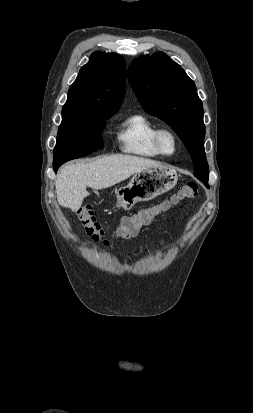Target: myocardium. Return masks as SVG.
I'll list each match as a JSON object with an SVG mask.
<instances>
[{
    "instance_id": "f54148a6",
    "label": "myocardium",
    "mask_w": 253,
    "mask_h": 413,
    "mask_svg": "<svg viewBox=\"0 0 253 413\" xmlns=\"http://www.w3.org/2000/svg\"><path fill=\"white\" fill-rule=\"evenodd\" d=\"M164 134H169L174 141V149L171 153L165 152L162 148L161 138ZM153 144L160 155L169 157V156H173L177 152L179 148V138L177 134L175 133V131L172 130L171 128L158 127L153 134Z\"/></svg>"
}]
</instances>
